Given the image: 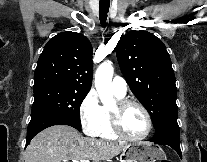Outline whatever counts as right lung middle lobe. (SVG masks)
<instances>
[{
  "instance_id": "right-lung-middle-lobe-1",
  "label": "right lung middle lobe",
  "mask_w": 207,
  "mask_h": 162,
  "mask_svg": "<svg viewBox=\"0 0 207 162\" xmlns=\"http://www.w3.org/2000/svg\"><path fill=\"white\" fill-rule=\"evenodd\" d=\"M87 93L60 86L34 88L31 118L39 115H57L81 126L79 110Z\"/></svg>"
}]
</instances>
